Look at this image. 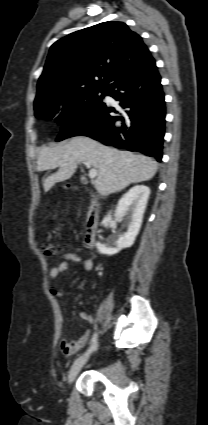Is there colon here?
<instances>
[{
  "label": "colon",
  "instance_id": "1",
  "mask_svg": "<svg viewBox=\"0 0 208 425\" xmlns=\"http://www.w3.org/2000/svg\"><path fill=\"white\" fill-rule=\"evenodd\" d=\"M41 249L45 256L53 257L56 256L59 253V248L53 244L50 243H43L41 245Z\"/></svg>",
  "mask_w": 208,
  "mask_h": 425
}]
</instances>
